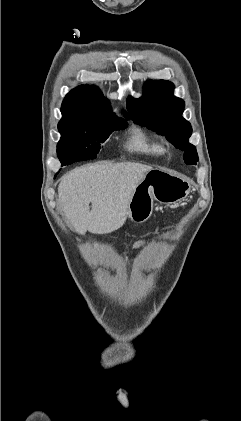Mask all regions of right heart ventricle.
Wrapping results in <instances>:
<instances>
[{
    "label": "right heart ventricle",
    "mask_w": 241,
    "mask_h": 421,
    "mask_svg": "<svg viewBox=\"0 0 241 421\" xmlns=\"http://www.w3.org/2000/svg\"><path fill=\"white\" fill-rule=\"evenodd\" d=\"M126 147L131 152L151 157L165 153L164 145L141 128L133 130Z\"/></svg>",
    "instance_id": "obj_1"
}]
</instances>
